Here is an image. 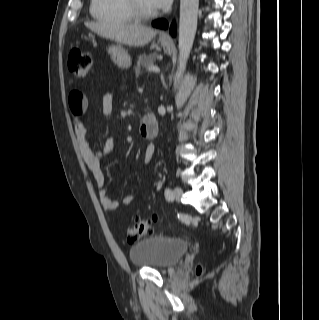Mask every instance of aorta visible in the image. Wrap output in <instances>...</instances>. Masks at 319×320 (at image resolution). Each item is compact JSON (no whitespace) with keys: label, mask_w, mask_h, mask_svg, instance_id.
I'll return each mask as SVG.
<instances>
[{"label":"aorta","mask_w":319,"mask_h":320,"mask_svg":"<svg viewBox=\"0 0 319 320\" xmlns=\"http://www.w3.org/2000/svg\"><path fill=\"white\" fill-rule=\"evenodd\" d=\"M199 0H180L179 18V59L174 85L182 77L193 46L198 15Z\"/></svg>","instance_id":"762f6f07"}]
</instances>
